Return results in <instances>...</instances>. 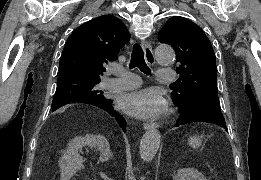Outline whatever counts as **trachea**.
<instances>
[{
    "label": "trachea",
    "instance_id": "1",
    "mask_svg": "<svg viewBox=\"0 0 261 180\" xmlns=\"http://www.w3.org/2000/svg\"><path fill=\"white\" fill-rule=\"evenodd\" d=\"M129 67L135 68L138 67L141 72L150 75L151 71L149 67L147 66L145 59H144V53L140 46V44L135 43L133 46L132 54H131V60Z\"/></svg>",
    "mask_w": 261,
    "mask_h": 180
}]
</instances>
